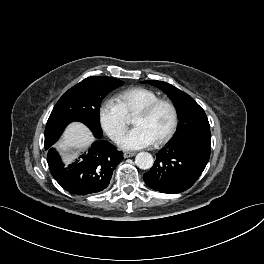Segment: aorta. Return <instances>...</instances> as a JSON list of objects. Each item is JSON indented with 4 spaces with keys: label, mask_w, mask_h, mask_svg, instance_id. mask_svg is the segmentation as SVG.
<instances>
[{
    "label": "aorta",
    "mask_w": 264,
    "mask_h": 264,
    "mask_svg": "<svg viewBox=\"0 0 264 264\" xmlns=\"http://www.w3.org/2000/svg\"><path fill=\"white\" fill-rule=\"evenodd\" d=\"M135 163L140 169H150L153 166V156L148 152H140L135 158Z\"/></svg>",
    "instance_id": "obj_1"
}]
</instances>
